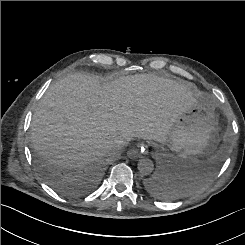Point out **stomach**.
<instances>
[{
  "label": "stomach",
  "mask_w": 245,
  "mask_h": 245,
  "mask_svg": "<svg viewBox=\"0 0 245 245\" xmlns=\"http://www.w3.org/2000/svg\"><path fill=\"white\" fill-rule=\"evenodd\" d=\"M218 131L215 102L202 97L175 121L166 135V141L161 143L180 157L193 158L213 147Z\"/></svg>",
  "instance_id": "1"
}]
</instances>
